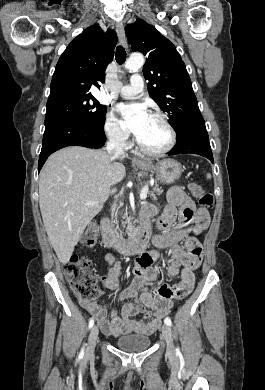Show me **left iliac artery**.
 Masks as SVG:
<instances>
[{
	"mask_svg": "<svg viewBox=\"0 0 265 390\" xmlns=\"http://www.w3.org/2000/svg\"><path fill=\"white\" fill-rule=\"evenodd\" d=\"M164 323L167 324L168 326H171V325H172V321H171V319L168 318V317L165 318ZM176 353H177V355H180V354H181L179 348L176 349Z\"/></svg>",
	"mask_w": 265,
	"mask_h": 390,
	"instance_id": "left-iliac-artery-1",
	"label": "left iliac artery"
}]
</instances>
